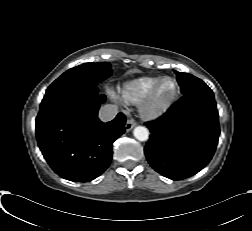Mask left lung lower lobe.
Wrapping results in <instances>:
<instances>
[{
	"mask_svg": "<svg viewBox=\"0 0 252 231\" xmlns=\"http://www.w3.org/2000/svg\"><path fill=\"white\" fill-rule=\"evenodd\" d=\"M145 125L151 135L144 151L155 171L172 180L196 174L212 159L220 134L212 90L184 94Z\"/></svg>",
	"mask_w": 252,
	"mask_h": 231,
	"instance_id": "left-lung-lower-lobe-1",
	"label": "left lung lower lobe"
}]
</instances>
